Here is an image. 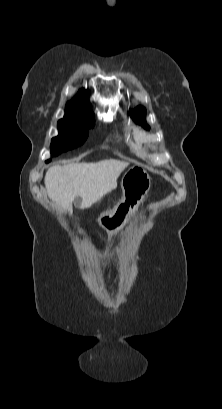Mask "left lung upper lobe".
Wrapping results in <instances>:
<instances>
[{"instance_id":"1","label":"left lung upper lobe","mask_w":222,"mask_h":409,"mask_svg":"<svg viewBox=\"0 0 222 409\" xmlns=\"http://www.w3.org/2000/svg\"><path fill=\"white\" fill-rule=\"evenodd\" d=\"M145 114H146L145 109L139 106L134 109V111L131 114V117L136 121V123L142 124L146 129H149V127L145 125L146 122Z\"/></svg>"}]
</instances>
